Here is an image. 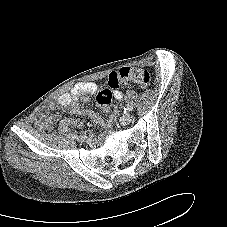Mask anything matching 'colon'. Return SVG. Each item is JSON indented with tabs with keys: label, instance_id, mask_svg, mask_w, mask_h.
I'll use <instances>...</instances> for the list:
<instances>
[{
	"label": "colon",
	"instance_id": "colon-1",
	"mask_svg": "<svg viewBox=\"0 0 227 227\" xmlns=\"http://www.w3.org/2000/svg\"><path fill=\"white\" fill-rule=\"evenodd\" d=\"M128 82L145 88L151 82V75L147 70L139 67H123L111 72L108 76V88L100 91L96 96L97 106L103 112L108 110L112 106L113 91Z\"/></svg>",
	"mask_w": 227,
	"mask_h": 227
}]
</instances>
